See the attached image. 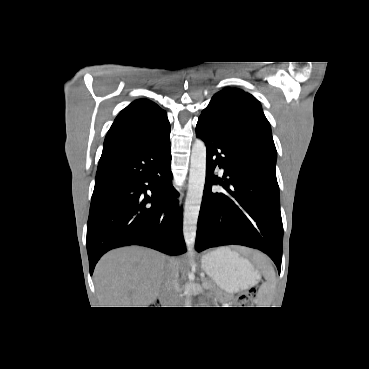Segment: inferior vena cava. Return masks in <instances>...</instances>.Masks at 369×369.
<instances>
[{
    "mask_svg": "<svg viewBox=\"0 0 369 369\" xmlns=\"http://www.w3.org/2000/svg\"><path fill=\"white\" fill-rule=\"evenodd\" d=\"M178 267L170 262L167 266L165 279L161 288V298L167 307H177L178 304Z\"/></svg>",
    "mask_w": 369,
    "mask_h": 369,
    "instance_id": "obj_1",
    "label": "inferior vena cava"
}]
</instances>
